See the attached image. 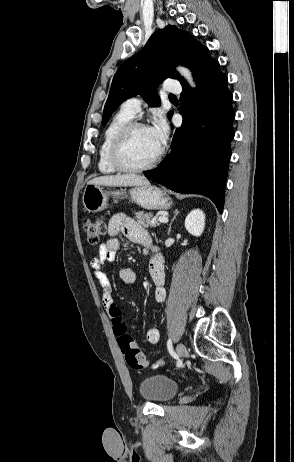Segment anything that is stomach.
I'll return each instance as SVG.
<instances>
[{"label":"stomach","mask_w":294,"mask_h":462,"mask_svg":"<svg viewBox=\"0 0 294 462\" xmlns=\"http://www.w3.org/2000/svg\"><path fill=\"white\" fill-rule=\"evenodd\" d=\"M125 191H111L101 185L88 184L83 193V205L86 211L100 212L109 208L111 199L123 195ZM131 200L147 210L171 208V198L161 189L152 185L136 186L129 190Z\"/></svg>","instance_id":"obj_1"}]
</instances>
